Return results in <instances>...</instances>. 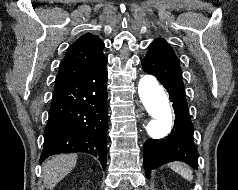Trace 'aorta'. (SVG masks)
<instances>
[{
    "mask_svg": "<svg viewBox=\"0 0 238 190\" xmlns=\"http://www.w3.org/2000/svg\"><path fill=\"white\" fill-rule=\"evenodd\" d=\"M139 97L151 116L147 124L148 135L152 139H161L170 131L173 113L164 88L150 75L143 76L138 83Z\"/></svg>",
    "mask_w": 238,
    "mask_h": 190,
    "instance_id": "762f6f07",
    "label": "aorta"
}]
</instances>
